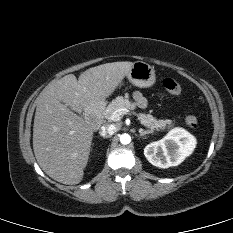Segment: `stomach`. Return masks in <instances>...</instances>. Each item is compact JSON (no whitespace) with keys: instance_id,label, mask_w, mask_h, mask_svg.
<instances>
[{"instance_id":"obj_1","label":"stomach","mask_w":233,"mask_h":233,"mask_svg":"<svg viewBox=\"0 0 233 233\" xmlns=\"http://www.w3.org/2000/svg\"><path fill=\"white\" fill-rule=\"evenodd\" d=\"M127 78L133 85L141 88L151 87L156 81L154 68L143 61L133 63Z\"/></svg>"}]
</instances>
